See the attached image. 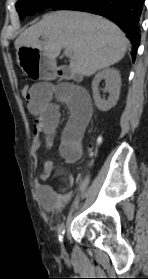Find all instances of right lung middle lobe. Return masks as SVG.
I'll return each instance as SVG.
<instances>
[{"label": "right lung middle lobe", "instance_id": "obj_1", "mask_svg": "<svg viewBox=\"0 0 148 279\" xmlns=\"http://www.w3.org/2000/svg\"><path fill=\"white\" fill-rule=\"evenodd\" d=\"M66 1L68 0H18L16 9L20 19H23L26 15H33L46 8H52Z\"/></svg>", "mask_w": 148, "mask_h": 279}]
</instances>
